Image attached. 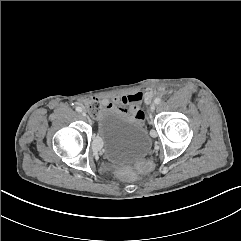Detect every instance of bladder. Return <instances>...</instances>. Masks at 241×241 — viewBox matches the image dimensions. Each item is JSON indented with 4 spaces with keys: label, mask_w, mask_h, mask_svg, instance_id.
<instances>
[{
    "label": "bladder",
    "mask_w": 241,
    "mask_h": 241,
    "mask_svg": "<svg viewBox=\"0 0 241 241\" xmlns=\"http://www.w3.org/2000/svg\"><path fill=\"white\" fill-rule=\"evenodd\" d=\"M97 138L104 157L112 163L141 160L151 149V139L144 126L117 109H105L100 113Z\"/></svg>",
    "instance_id": "1"
}]
</instances>
